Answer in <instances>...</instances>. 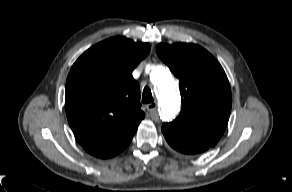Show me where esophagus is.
I'll use <instances>...</instances> for the list:
<instances>
[{
	"instance_id": "obj_1",
	"label": "esophagus",
	"mask_w": 292,
	"mask_h": 192,
	"mask_svg": "<svg viewBox=\"0 0 292 192\" xmlns=\"http://www.w3.org/2000/svg\"><path fill=\"white\" fill-rule=\"evenodd\" d=\"M157 108V103L156 102H152V103H149L146 105V109L149 111V112H152L154 110H156Z\"/></svg>"
}]
</instances>
